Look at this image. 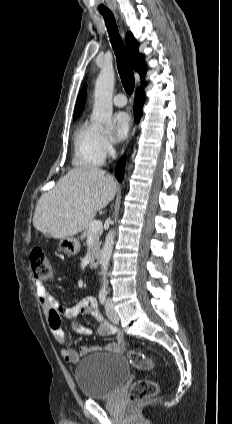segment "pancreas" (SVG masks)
I'll list each match as a JSON object with an SVG mask.
<instances>
[{
  "label": "pancreas",
  "instance_id": "1",
  "mask_svg": "<svg viewBox=\"0 0 232 424\" xmlns=\"http://www.w3.org/2000/svg\"><path fill=\"white\" fill-rule=\"evenodd\" d=\"M92 222H93V220L90 221L89 224H88V226L84 229V232L81 235V239H85L86 237H89L90 235H92V237H93L92 256H94L95 253L98 251V249L100 247V241H99V239H100V236L102 235L103 230L101 229V230H98L96 232H92L90 230V225H91Z\"/></svg>",
  "mask_w": 232,
  "mask_h": 424
}]
</instances>
